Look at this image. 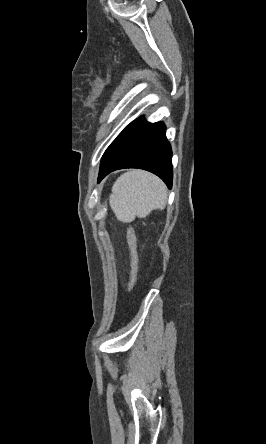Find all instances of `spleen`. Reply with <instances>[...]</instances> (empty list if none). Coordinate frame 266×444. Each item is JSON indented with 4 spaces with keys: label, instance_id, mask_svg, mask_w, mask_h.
<instances>
[{
    "label": "spleen",
    "instance_id": "1",
    "mask_svg": "<svg viewBox=\"0 0 266 444\" xmlns=\"http://www.w3.org/2000/svg\"><path fill=\"white\" fill-rule=\"evenodd\" d=\"M165 184L155 175L132 170L122 174L112 187L110 205L118 220L132 222L161 209L166 202Z\"/></svg>",
    "mask_w": 266,
    "mask_h": 444
}]
</instances>
